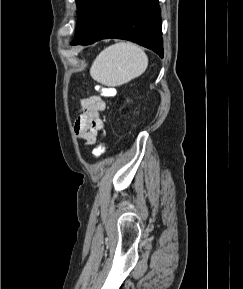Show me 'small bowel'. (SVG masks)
Listing matches in <instances>:
<instances>
[{"instance_id": "small-bowel-1", "label": "small bowel", "mask_w": 243, "mask_h": 289, "mask_svg": "<svg viewBox=\"0 0 243 289\" xmlns=\"http://www.w3.org/2000/svg\"><path fill=\"white\" fill-rule=\"evenodd\" d=\"M105 107V101L98 95H92L80 102V114L75 121L74 132L86 145L94 144L98 132L104 129L101 112Z\"/></svg>"}]
</instances>
